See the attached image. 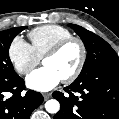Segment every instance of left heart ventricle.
Wrapping results in <instances>:
<instances>
[{"label": "left heart ventricle", "mask_w": 119, "mask_h": 119, "mask_svg": "<svg viewBox=\"0 0 119 119\" xmlns=\"http://www.w3.org/2000/svg\"><path fill=\"white\" fill-rule=\"evenodd\" d=\"M81 51L76 43L68 45L60 54L46 58L43 65L53 68L63 79L71 74L77 67Z\"/></svg>", "instance_id": "obj_1"}]
</instances>
